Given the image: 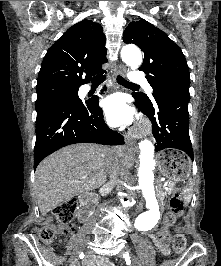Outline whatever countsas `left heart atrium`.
I'll use <instances>...</instances> for the list:
<instances>
[{"label":"left heart atrium","instance_id":"39dd6f15","mask_svg":"<svg viewBox=\"0 0 221 266\" xmlns=\"http://www.w3.org/2000/svg\"><path fill=\"white\" fill-rule=\"evenodd\" d=\"M103 109L108 122L114 126L130 124L134 119L133 110L126 105L125 100L119 95L107 98L103 104Z\"/></svg>","mask_w":221,"mask_h":266}]
</instances>
